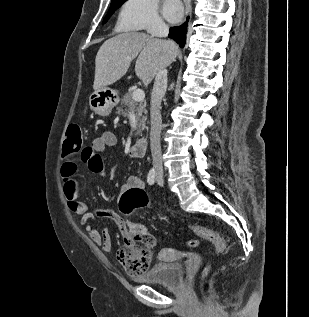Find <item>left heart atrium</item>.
I'll use <instances>...</instances> for the list:
<instances>
[{
  "label": "left heart atrium",
  "mask_w": 309,
  "mask_h": 317,
  "mask_svg": "<svg viewBox=\"0 0 309 317\" xmlns=\"http://www.w3.org/2000/svg\"><path fill=\"white\" fill-rule=\"evenodd\" d=\"M163 14L170 22H178L183 15V8L179 0H165Z\"/></svg>",
  "instance_id": "1"
}]
</instances>
